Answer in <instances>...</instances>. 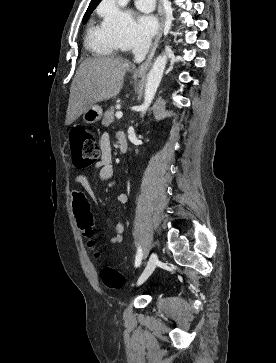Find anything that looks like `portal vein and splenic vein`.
I'll return each mask as SVG.
<instances>
[{
  "label": "portal vein and splenic vein",
  "mask_w": 276,
  "mask_h": 363,
  "mask_svg": "<svg viewBox=\"0 0 276 363\" xmlns=\"http://www.w3.org/2000/svg\"><path fill=\"white\" fill-rule=\"evenodd\" d=\"M116 118L120 119L122 116H123V113L121 111H118L116 114H115Z\"/></svg>",
  "instance_id": "obj_1"
}]
</instances>
